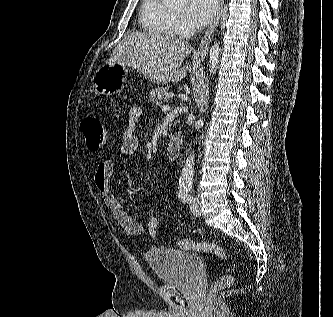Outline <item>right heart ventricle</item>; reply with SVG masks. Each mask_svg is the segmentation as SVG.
Wrapping results in <instances>:
<instances>
[{
    "label": "right heart ventricle",
    "instance_id": "e07e8e85",
    "mask_svg": "<svg viewBox=\"0 0 333 317\" xmlns=\"http://www.w3.org/2000/svg\"><path fill=\"white\" fill-rule=\"evenodd\" d=\"M139 19L142 28L150 34L163 38L178 35L176 16L163 0H142Z\"/></svg>",
    "mask_w": 333,
    "mask_h": 317
}]
</instances>
